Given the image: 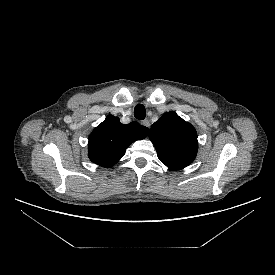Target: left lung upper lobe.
Wrapping results in <instances>:
<instances>
[{"label": "left lung upper lobe", "instance_id": "1", "mask_svg": "<svg viewBox=\"0 0 275 275\" xmlns=\"http://www.w3.org/2000/svg\"><path fill=\"white\" fill-rule=\"evenodd\" d=\"M197 132L175 112L165 113L150 129L158 158L171 170L191 164L198 151Z\"/></svg>", "mask_w": 275, "mask_h": 275}]
</instances>
